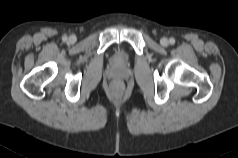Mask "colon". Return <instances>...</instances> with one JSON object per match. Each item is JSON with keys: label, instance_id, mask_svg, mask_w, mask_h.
Masks as SVG:
<instances>
[{"label": "colon", "instance_id": "obj_1", "mask_svg": "<svg viewBox=\"0 0 238 158\" xmlns=\"http://www.w3.org/2000/svg\"><path fill=\"white\" fill-rule=\"evenodd\" d=\"M111 93L114 96H120L123 93V85L119 81L113 82L111 85Z\"/></svg>", "mask_w": 238, "mask_h": 158}]
</instances>
